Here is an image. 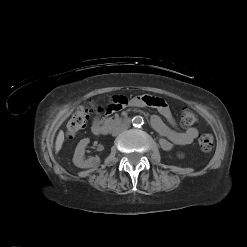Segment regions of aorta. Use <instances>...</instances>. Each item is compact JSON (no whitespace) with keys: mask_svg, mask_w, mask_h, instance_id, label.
<instances>
[{"mask_svg":"<svg viewBox=\"0 0 247 247\" xmlns=\"http://www.w3.org/2000/svg\"><path fill=\"white\" fill-rule=\"evenodd\" d=\"M132 123H133V126L135 127H140L143 125L144 123V120L141 116H135L133 119H132Z\"/></svg>","mask_w":247,"mask_h":247,"instance_id":"obj_1","label":"aorta"}]
</instances>
